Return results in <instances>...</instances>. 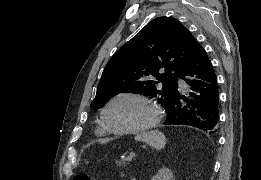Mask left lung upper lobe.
I'll use <instances>...</instances> for the list:
<instances>
[{
    "label": "left lung upper lobe",
    "instance_id": "obj_1",
    "mask_svg": "<svg viewBox=\"0 0 261 180\" xmlns=\"http://www.w3.org/2000/svg\"><path fill=\"white\" fill-rule=\"evenodd\" d=\"M198 43L175 18L157 17L124 44L106 65L91 108L97 110L113 95H149L167 107L175 95L177 78L194 55ZM156 77L163 84L158 89Z\"/></svg>",
    "mask_w": 261,
    "mask_h": 180
}]
</instances>
